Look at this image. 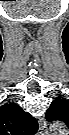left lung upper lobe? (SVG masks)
<instances>
[{"label": "left lung upper lobe", "instance_id": "obj_1", "mask_svg": "<svg viewBox=\"0 0 69 135\" xmlns=\"http://www.w3.org/2000/svg\"><path fill=\"white\" fill-rule=\"evenodd\" d=\"M46 119L48 121L59 120L67 123L69 120V101L60 98L53 101L46 112Z\"/></svg>", "mask_w": 69, "mask_h": 135}]
</instances>
